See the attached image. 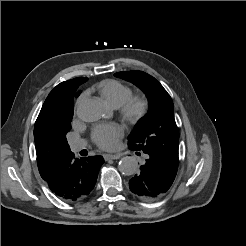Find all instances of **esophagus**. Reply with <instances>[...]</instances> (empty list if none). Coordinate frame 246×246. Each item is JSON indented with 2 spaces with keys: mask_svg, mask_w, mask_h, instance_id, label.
Masks as SVG:
<instances>
[{
  "mask_svg": "<svg viewBox=\"0 0 246 246\" xmlns=\"http://www.w3.org/2000/svg\"><path fill=\"white\" fill-rule=\"evenodd\" d=\"M120 157H121V154H105L104 155L105 161L119 159Z\"/></svg>",
  "mask_w": 246,
  "mask_h": 246,
  "instance_id": "34e87169",
  "label": "esophagus"
}]
</instances>
